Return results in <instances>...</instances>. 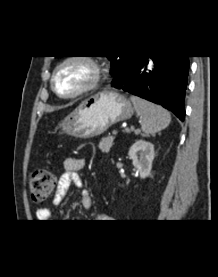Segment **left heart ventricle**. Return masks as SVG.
<instances>
[{
  "instance_id": "left-heart-ventricle-1",
  "label": "left heart ventricle",
  "mask_w": 218,
  "mask_h": 277,
  "mask_svg": "<svg viewBox=\"0 0 218 277\" xmlns=\"http://www.w3.org/2000/svg\"><path fill=\"white\" fill-rule=\"evenodd\" d=\"M88 71L81 65L72 64L65 67L56 78L57 90L70 94L78 90L87 80Z\"/></svg>"
}]
</instances>
